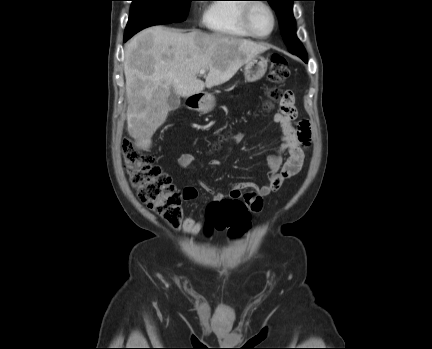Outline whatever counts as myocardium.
<instances>
[{"mask_svg": "<svg viewBox=\"0 0 432 349\" xmlns=\"http://www.w3.org/2000/svg\"><path fill=\"white\" fill-rule=\"evenodd\" d=\"M257 5H261V6L266 7L268 9V11L270 12L271 17H272L271 30L265 35H260V34L256 33L254 31L252 25H251V20H250L251 13H252L254 7ZM241 23H242L243 28L247 31V33L250 36H252L256 39H267L268 37H270L273 34L274 30L276 29L277 16H276L275 10L273 9V7L268 2L262 1V0H257V1H253V2H248L247 4H245L243 6L242 14H241Z\"/></svg>", "mask_w": 432, "mask_h": 349, "instance_id": "f54148a6", "label": "myocardium"}]
</instances>
